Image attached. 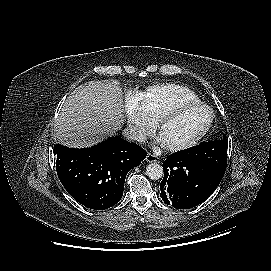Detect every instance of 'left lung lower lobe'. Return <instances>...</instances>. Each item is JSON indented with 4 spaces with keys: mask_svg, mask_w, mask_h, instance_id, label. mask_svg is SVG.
Wrapping results in <instances>:
<instances>
[{
    "mask_svg": "<svg viewBox=\"0 0 271 271\" xmlns=\"http://www.w3.org/2000/svg\"><path fill=\"white\" fill-rule=\"evenodd\" d=\"M160 184L162 200L178 209L193 208L206 200L219 185L224 173L178 152L163 163Z\"/></svg>",
    "mask_w": 271,
    "mask_h": 271,
    "instance_id": "0a47b994",
    "label": "left lung lower lobe"
}]
</instances>
